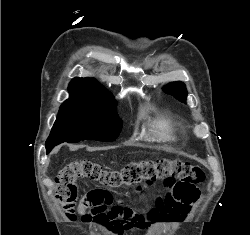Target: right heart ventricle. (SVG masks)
<instances>
[{"mask_svg":"<svg viewBox=\"0 0 250 235\" xmlns=\"http://www.w3.org/2000/svg\"><path fill=\"white\" fill-rule=\"evenodd\" d=\"M152 135L162 141H173V121L171 117L164 115L150 124Z\"/></svg>","mask_w":250,"mask_h":235,"instance_id":"e07e8e85","label":"right heart ventricle"}]
</instances>
